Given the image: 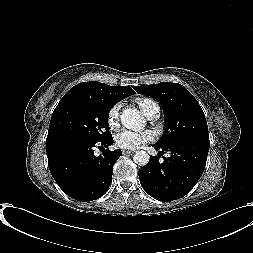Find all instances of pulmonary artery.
I'll use <instances>...</instances> for the list:
<instances>
[{"label":"pulmonary artery","mask_w":253,"mask_h":253,"mask_svg":"<svg viewBox=\"0 0 253 253\" xmlns=\"http://www.w3.org/2000/svg\"><path fill=\"white\" fill-rule=\"evenodd\" d=\"M159 115V106L157 105V103H155L152 106V109L150 110L149 114L147 115V117L151 120L157 119Z\"/></svg>","instance_id":"1"}]
</instances>
